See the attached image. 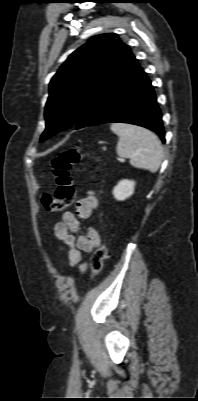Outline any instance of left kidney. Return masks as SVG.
<instances>
[{
    "instance_id": "1",
    "label": "left kidney",
    "mask_w": 198,
    "mask_h": 401,
    "mask_svg": "<svg viewBox=\"0 0 198 401\" xmlns=\"http://www.w3.org/2000/svg\"><path fill=\"white\" fill-rule=\"evenodd\" d=\"M135 182L132 180H121L113 189L114 198L123 201L134 193Z\"/></svg>"
}]
</instances>
